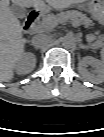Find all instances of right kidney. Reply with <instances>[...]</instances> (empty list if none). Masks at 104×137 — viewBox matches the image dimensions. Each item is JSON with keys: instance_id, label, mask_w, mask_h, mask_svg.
Returning <instances> with one entry per match:
<instances>
[{"instance_id": "1", "label": "right kidney", "mask_w": 104, "mask_h": 137, "mask_svg": "<svg viewBox=\"0 0 104 137\" xmlns=\"http://www.w3.org/2000/svg\"><path fill=\"white\" fill-rule=\"evenodd\" d=\"M36 64V57L33 54L25 53L17 62L18 73H28L32 71Z\"/></svg>"}]
</instances>
